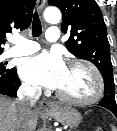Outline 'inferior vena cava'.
<instances>
[{
    "label": "inferior vena cava",
    "mask_w": 117,
    "mask_h": 131,
    "mask_svg": "<svg viewBox=\"0 0 117 131\" xmlns=\"http://www.w3.org/2000/svg\"><path fill=\"white\" fill-rule=\"evenodd\" d=\"M41 95V88L39 86L22 85L17 92L18 103L22 113L26 114L35 105Z\"/></svg>",
    "instance_id": "inferior-vena-cava-1"
}]
</instances>
